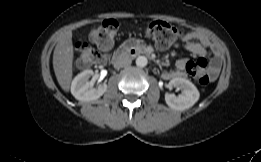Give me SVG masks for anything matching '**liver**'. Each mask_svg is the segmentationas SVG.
Listing matches in <instances>:
<instances>
[{
    "label": "liver",
    "mask_w": 261,
    "mask_h": 162,
    "mask_svg": "<svg viewBox=\"0 0 261 162\" xmlns=\"http://www.w3.org/2000/svg\"><path fill=\"white\" fill-rule=\"evenodd\" d=\"M71 30L60 34L53 54V68L57 81L64 91H69L72 79L73 45Z\"/></svg>",
    "instance_id": "obj_1"
}]
</instances>
